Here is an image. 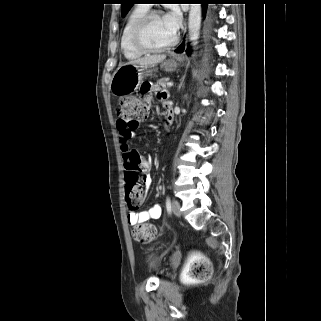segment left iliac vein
<instances>
[{
  "label": "left iliac vein",
  "instance_id": "obj_1",
  "mask_svg": "<svg viewBox=\"0 0 321 321\" xmlns=\"http://www.w3.org/2000/svg\"><path fill=\"white\" fill-rule=\"evenodd\" d=\"M172 211L176 216H178V217L181 216V209H180V204L178 201L172 202Z\"/></svg>",
  "mask_w": 321,
  "mask_h": 321
}]
</instances>
